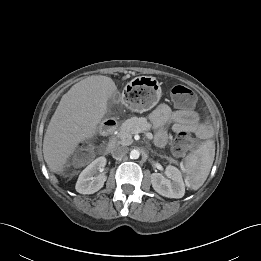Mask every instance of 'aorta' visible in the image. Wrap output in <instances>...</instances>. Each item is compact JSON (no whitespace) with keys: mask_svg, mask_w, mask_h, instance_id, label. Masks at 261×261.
<instances>
[{"mask_svg":"<svg viewBox=\"0 0 261 261\" xmlns=\"http://www.w3.org/2000/svg\"><path fill=\"white\" fill-rule=\"evenodd\" d=\"M140 156V152L136 149L131 150L130 152V158L131 159H138Z\"/></svg>","mask_w":261,"mask_h":261,"instance_id":"1","label":"aorta"}]
</instances>
